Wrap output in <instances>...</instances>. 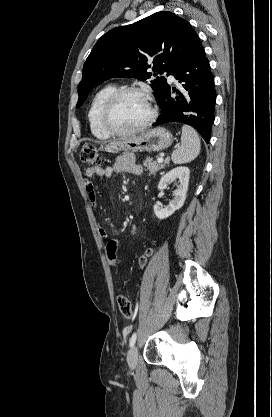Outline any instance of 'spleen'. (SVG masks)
Returning <instances> with one entry per match:
<instances>
[{
	"mask_svg": "<svg viewBox=\"0 0 272 417\" xmlns=\"http://www.w3.org/2000/svg\"><path fill=\"white\" fill-rule=\"evenodd\" d=\"M201 142L197 132L188 125H183L181 146L174 150L171 159L174 164H184L194 160L200 153Z\"/></svg>",
	"mask_w": 272,
	"mask_h": 417,
	"instance_id": "3e777b00",
	"label": "spleen"
}]
</instances>
